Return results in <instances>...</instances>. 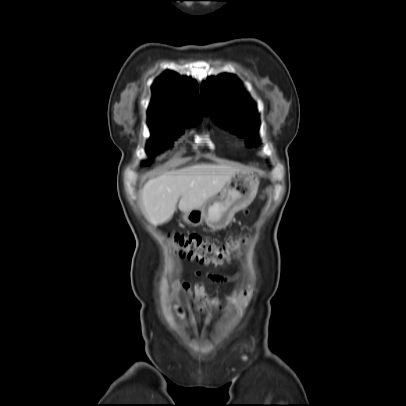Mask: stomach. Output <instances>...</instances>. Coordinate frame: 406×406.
<instances>
[{
    "label": "stomach",
    "instance_id": "obj_1",
    "mask_svg": "<svg viewBox=\"0 0 406 406\" xmlns=\"http://www.w3.org/2000/svg\"><path fill=\"white\" fill-rule=\"evenodd\" d=\"M259 179L253 173L239 171L221 190L220 196L209 198L200 208L185 212L183 220L197 226L205 222L213 229L225 228L234 214L246 208L255 198Z\"/></svg>",
    "mask_w": 406,
    "mask_h": 406
}]
</instances>
